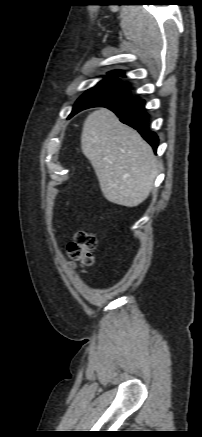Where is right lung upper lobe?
Here are the masks:
<instances>
[{
    "label": "right lung upper lobe",
    "instance_id": "right-lung-upper-lobe-1",
    "mask_svg": "<svg viewBox=\"0 0 202 437\" xmlns=\"http://www.w3.org/2000/svg\"><path fill=\"white\" fill-rule=\"evenodd\" d=\"M110 73H115V74H119V75H121V76H123V74H122V72L121 71H112V72H110Z\"/></svg>",
    "mask_w": 202,
    "mask_h": 437
}]
</instances>
